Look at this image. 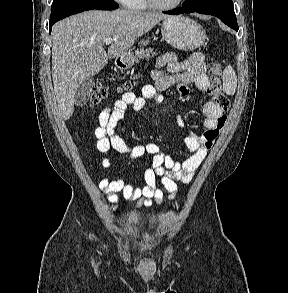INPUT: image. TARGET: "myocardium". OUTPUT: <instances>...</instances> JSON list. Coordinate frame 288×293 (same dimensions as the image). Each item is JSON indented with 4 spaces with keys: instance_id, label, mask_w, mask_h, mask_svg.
<instances>
[{
    "instance_id": "obj_1",
    "label": "myocardium",
    "mask_w": 288,
    "mask_h": 293,
    "mask_svg": "<svg viewBox=\"0 0 288 293\" xmlns=\"http://www.w3.org/2000/svg\"><path fill=\"white\" fill-rule=\"evenodd\" d=\"M146 2L150 7L154 9L166 11L177 8L182 3V0H175L173 3L170 4H161L158 3L156 0H146Z\"/></svg>"
}]
</instances>
